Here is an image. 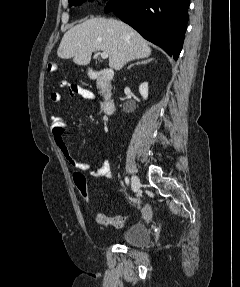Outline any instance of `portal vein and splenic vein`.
Here are the masks:
<instances>
[{"mask_svg":"<svg viewBox=\"0 0 240 287\" xmlns=\"http://www.w3.org/2000/svg\"><path fill=\"white\" fill-rule=\"evenodd\" d=\"M100 55H101V57L103 59H107L108 58V53H106V52H102Z\"/></svg>","mask_w":240,"mask_h":287,"instance_id":"portal-vein-and-splenic-vein-1","label":"portal vein and splenic vein"}]
</instances>
